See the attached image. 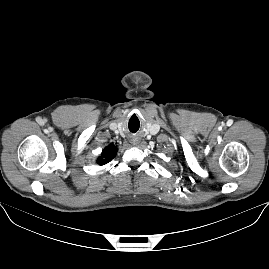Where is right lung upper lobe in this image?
<instances>
[{
    "label": "right lung upper lobe",
    "mask_w": 269,
    "mask_h": 269,
    "mask_svg": "<svg viewBox=\"0 0 269 269\" xmlns=\"http://www.w3.org/2000/svg\"><path fill=\"white\" fill-rule=\"evenodd\" d=\"M117 148L110 144L103 151L102 155L98 158V163L104 165L111 161L116 155Z\"/></svg>",
    "instance_id": "cb5924a9"
}]
</instances>
